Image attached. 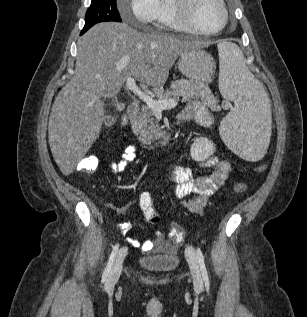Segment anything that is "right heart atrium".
I'll list each match as a JSON object with an SVG mask.
<instances>
[{
	"mask_svg": "<svg viewBox=\"0 0 307 317\" xmlns=\"http://www.w3.org/2000/svg\"><path fill=\"white\" fill-rule=\"evenodd\" d=\"M128 6L121 8L124 19L133 18L137 23L148 25L156 22L160 16V0H120Z\"/></svg>",
	"mask_w": 307,
	"mask_h": 317,
	"instance_id": "1",
	"label": "right heart atrium"
}]
</instances>
